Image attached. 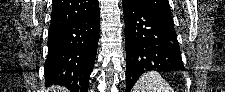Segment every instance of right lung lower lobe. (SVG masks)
I'll return each mask as SVG.
<instances>
[{"label": "right lung lower lobe", "instance_id": "1", "mask_svg": "<svg viewBox=\"0 0 225 92\" xmlns=\"http://www.w3.org/2000/svg\"><path fill=\"white\" fill-rule=\"evenodd\" d=\"M99 11L66 25L50 28L45 63L47 85L59 84L72 92H87L99 39Z\"/></svg>", "mask_w": 225, "mask_h": 92}]
</instances>
